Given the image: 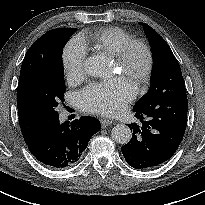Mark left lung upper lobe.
I'll use <instances>...</instances> for the list:
<instances>
[{"label":"left lung upper lobe","mask_w":205,"mask_h":205,"mask_svg":"<svg viewBox=\"0 0 205 205\" xmlns=\"http://www.w3.org/2000/svg\"><path fill=\"white\" fill-rule=\"evenodd\" d=\"M143 27L151 44L153 70L150 88L133 110L141 109L166 97L186 93L179 63L169 45L152 27L145 23Z\"/></svg>","instance_id":"5c2ea615"}]
</instances>
